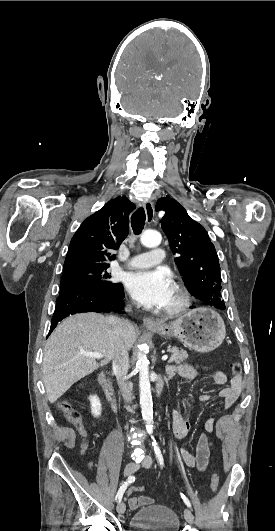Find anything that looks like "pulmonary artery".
Segmentation results:
<instances>
[{
  "label": "pulmonary artery",
  "instance_id": "e3ab8cb5",
  "mask_svg": "<svg viewBox=\"0 0 275 531\" xmlns=\"http://www.w3.org/2000/svg\"><path fill=\"white\" fill-rule=\"evenodd\" d=\"M151 252L152 255L149 258ZM151 252H145L133 256L131 260L126 264V267L130 269H135L140 268L143 265H161L163 262V258L165 257V252L158 245L153 246Z\"/></svg>",
  "mask_w": 275,
  "mask_h": 531
}]
</instances>
